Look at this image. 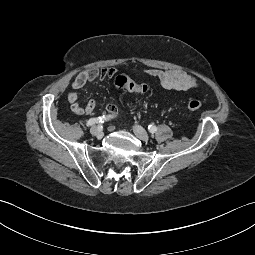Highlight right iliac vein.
<instances>
[{
    "mask_svg": "<svg viewBox=\"0 0 255 255\" xmlns=\"http://www.w3.org/2000/svg\"><path fill=\"white\" fill-rule=\"evenodd\" d=\"M90 133L93 135V136H96L97 138L101 139L102 136H103V132L101 131V129L97 126H93L91 129H90Z\"/></svg>",
    "mask_w": 255,
    "mask_h": 255,
    "instance_id": "obj_1",
    "label": "right iliac vein"
}]
</instances>
